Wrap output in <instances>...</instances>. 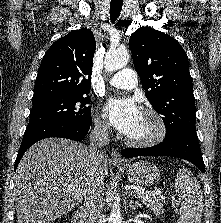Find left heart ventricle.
<instances>
[{
  "label": "left heart ventricle",
  "mask_w": 221,
  "mask_h": 223,
  "mask_svg": "<svg viewBox=\"0 0 221 223\" xmlns=\"http://www.w3.org/2000/svg\"><path fill=\"white\" fill-rule=\"evenodd\" d=\"M156 131V124L153 118L141 115L135 129L128 135L132 139H143L151 136Z\"/></svg>",
  "instance_id": "1"
}]
</instances>
